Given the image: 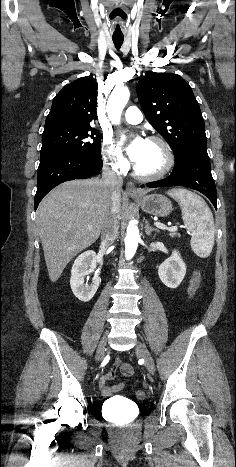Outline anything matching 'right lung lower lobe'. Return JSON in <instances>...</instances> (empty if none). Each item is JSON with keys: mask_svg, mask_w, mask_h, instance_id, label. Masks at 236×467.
Here are the masks:
<instances>
[{"mask_svg": "<svg viewBox=\"0 0 236 467\" xmlns=\"http://www.w3.org/2000/svg\"><path fill=\"white\" fill-rule=\"evenodd\" d=\"M102 159L71 151H57L40 157L37 171L35 209L42 198L55 186L69 180L86 179L97 174Z\"/></svg>", "mask_w": 236, "mask_h": 467, "instance_id": "obj_1", "label": "right lung lower lobe"}]
</instances>
